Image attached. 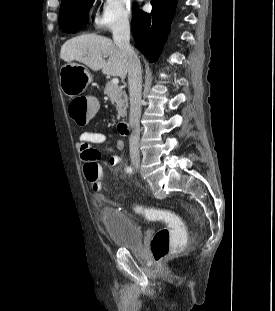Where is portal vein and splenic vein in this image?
Here are the masks:
<instances>
[{
    "label": "portal vein and splenic vein",
    "mask_w": 275,
    "mask_h": 311,
    "mask_svg": "<svg viewBox=\"0 0 275 311\" xmlns=\"http://www.w3.org/2000/svg\"><path fill=\"white\" fill-rule=\"evenodd\" d=\"M111 83H112V84H115V85H118L119 79H118V78H113V79L111 80Z\"/></svg>",
    "instance_id": "obj_1"
}]
</instances>
